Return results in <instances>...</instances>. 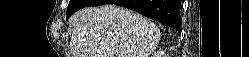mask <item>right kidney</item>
Masks as SVG:
<instances>
[{"label": "right kidney", "mask_w": 249, "mask_h": 57, "mask_svg": "<svg viewBox=\"0 0 249 57\" xmlns=\"http://www.w3.org/2000/svg\"><path fill=\"white\" fill-rule=\"evenodd\" d=\"M163 54L162 53H157V55H155L156 57H161Z\"/></svg>", "instance_id": "ca27d5eb"}]
</instances>
